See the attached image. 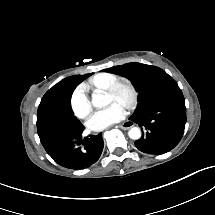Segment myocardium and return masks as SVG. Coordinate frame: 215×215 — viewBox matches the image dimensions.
Returning a JSON list of instances; mask_svg holds the SVG:
<instances>
[{
    "label": "myocardium",
    "instance_id": "f54148a6",
    "mask_svg": "<svg viewBox=\"0 0 215 215\" xmlns=\"http://www.w3.org/2000/svg\"><path fill=\"white\" fill-rule=\"evenodd\" d=\"M120 91L122 93L121 103L129 104L132 99V90L129 87H121Z\"/></svg>",
    "mask_w": 215,
    "mask_h": 215
}]
</instances>
